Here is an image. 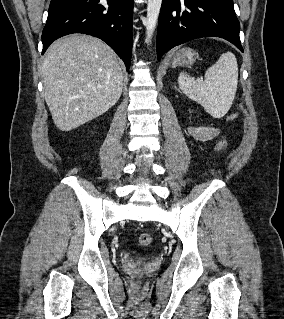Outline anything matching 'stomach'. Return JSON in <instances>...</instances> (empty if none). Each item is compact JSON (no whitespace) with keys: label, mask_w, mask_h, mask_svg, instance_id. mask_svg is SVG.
I'll use <instances>...</instances> for the list:
<instances>
[{"label":"stomach","mask_w":284,"mask_h":319,"mask_svg":"<svg viewBox=\"0 0 284 319\" xmlns=\"http://www.w3.org/2000/svg\"><path fill=\"white\" fill-rule=\"evenodd\" d=\"M197 58V53L190 48H182L171 58L172 67L191 66Z\"/></svg>","instance_id":"1"}]
</instances>
